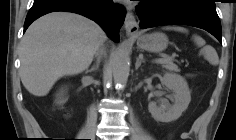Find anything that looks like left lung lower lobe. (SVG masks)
Segmentation results:
<instances>
[{"label": "left lung lower lobe", "mask_w": 236, "mask_h": 140, "mask_svg": "<svg viewBox=\"0 0 236 140\" xmlns=\"http://www.w3.org/2000/svg\"><path fill=\"white\" fill-rule=\"evenodd\" d=\"M140 28L182 24L204 29L221 42L215 4L195 0H141L136 8Z\"/></svg>", "instance_id": "1"}]
</instances>
